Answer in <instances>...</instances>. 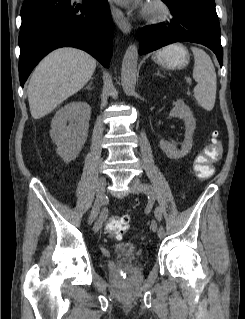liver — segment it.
<instances>
[{
  "mask_svg": "<svg viewBox=\"0 0 245 319\" xmlns=\"http://www.w3.org/2000/svg\"><path fill=\"white\" fill-rule=\"evenodd\" d=\"M97 61L75 48L50 53L35 68L27 94L31 115L40 119L80 91L91 79Z\"/></svg>",
  "mask_w": 245,
  "mask_h": 319,
  "instance_id": "obj_1",
  "label": "liver"
}]
</instances>
